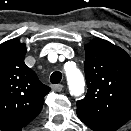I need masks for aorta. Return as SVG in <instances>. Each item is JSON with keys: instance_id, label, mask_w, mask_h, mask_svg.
<instances>
[{"instance_id": "762f6f07", "label": "aorta", "mask_w": 131, "mask_h": 131, "mask_svg": "<svg viewBox=\"0 0 131 131\" xmlns=\"http://www.w3.org/2000/svg\"><path fill=\"white\" fill-rule=\"evenodd\" d=\"M68 87L72 95L78 96L84 91V77L77 68H66Z\"/></svg>"}]
</instances>
